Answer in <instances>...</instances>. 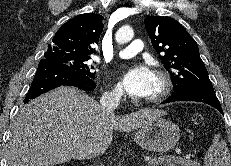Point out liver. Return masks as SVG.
Listing matches in <instances>:
<instances>
[{"label": "liver", "mask_w": 231, "mask_h": 166, "mask_svg": "<svg viewBox=\"0 0 231 166\" xmlns=\"http://www.w3.org/2000/svg\"><path fill=\"white\" fill-rule=\"evenodd\" d=\"M165 114L147 108L118 116L81 90L62 86L21 108L11 124L7 166H54L92 159L108 149L113 130L130 132Z\"/></svg>", "instance_id": "6515ba94"}]
</instances>
